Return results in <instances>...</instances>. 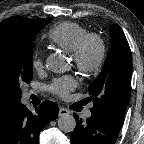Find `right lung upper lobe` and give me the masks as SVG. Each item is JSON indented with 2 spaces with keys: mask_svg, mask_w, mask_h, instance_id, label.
Returning a JSON list of instances; mask_svg holds the SVG:
<instances>
[{
  "mask_svg": "<svg viewBox=\"0 0 144 144\" xmlns=\"http://www.w3.org/2000/svg\"><path fill=\"white\" fill-rule=\"evenodd\" d=\"M44 19H28L21 16H14L5 19L0 23V38L5 36L12 27L18 24H35L40 23ZM19 102L13 97L11 92L6 88L2 81H0V123L6 119L17 107Z\"/></svg>",
  "mask_w": 144,
  "mask_h": 144,
  "instance_id": "1",
  "label": "right lung upper lobe"
}]
</instances>
